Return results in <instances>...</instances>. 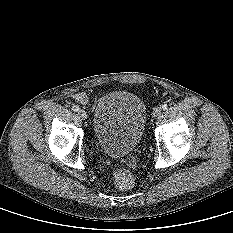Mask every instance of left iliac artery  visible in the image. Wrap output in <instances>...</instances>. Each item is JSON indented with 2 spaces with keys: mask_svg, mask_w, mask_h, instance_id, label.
<instances>
[{
  "mask_svg": "<svg viewBox=\"0 0 233 233\" xmlns=\"http://www.w3.org/2000/svg\"><path fill=\"white\" fill-rule=\"evenodd\" d=\"M161 108H162L163 110H166V109H168V105H167V104H162V105H161Z\"/></svg>",
  "mask_w": 233,
  "mask_h": 233,
  "instance_id": "obj_1",
  "label": "left iliac artery"
}]
</instances>
